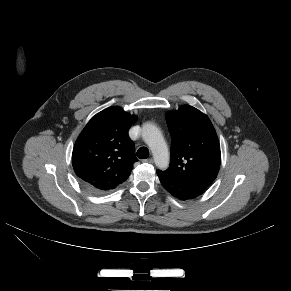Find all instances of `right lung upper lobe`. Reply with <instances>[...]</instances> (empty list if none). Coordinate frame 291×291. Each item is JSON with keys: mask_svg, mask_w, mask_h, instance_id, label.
<instances>
[{"mask_svg": "<svg viewBox=\"0 0 291 291\" xmlns=\"http://www.w3.org/2000/svg\"><path fill=\"white\" fill-rule=\"evenodd\" d=\"M135 121L136 116L113 106L88 122L72 153L74 171L83 182L105 191L127 180L137 161L128 137V129Z\"/></svg>", "mask_w": 291, "mask_h": 291, "instance_id": "cb5924a9", "label": "right lung upper lobe"}]
</instances>
